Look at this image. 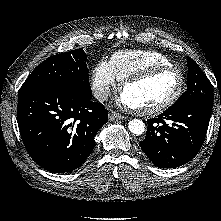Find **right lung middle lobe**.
<instances>
[{
  "label": "right lung middle lobe",
  "instance_id": "obj_1",
  "mask_svg": "<svg viewBox=\"0 0 221 221\" xmlns=\"http://www.w3.org/2000/svg\"><path fill=\"white\" fill-rule=\"evenodd\" d=\"M86 59L83 49L51 56L34 69L22 87L37 84L64 85L91 97Z\"/></svg>",
  "mask_w": 221,
  "mask_h": 221
}]
</instances>
